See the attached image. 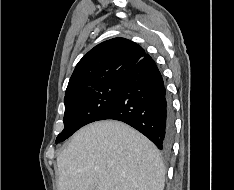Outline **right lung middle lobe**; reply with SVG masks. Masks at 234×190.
I'll list each match as a JSON object with an SVG mask.
<instances>
[{
	"label": "right lung middle lobe",
	"instance_id": "1",
	"mask_svg": "<svg viewBox=\"0 0 234 190\" xmlns=\"http://www.w3.org/2000/svg\"><path fill=\"white\" fill-rule=\"evenodd\" d=\"M122 80L76 92L65 98L64 129L56 143L69 138L86 124L97 121L116 101Z\"/></svg>",
	"mask_w": 234,
	"mask_h": 190
}]
</instances>
